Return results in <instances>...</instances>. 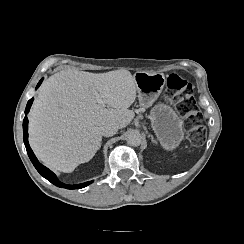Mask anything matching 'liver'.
I'll use <instances>...</instances> for the list:
<instances>
[{"label":"liver","instance_id":"liver-1","mask_svg":"<svg viewBox=\"0 0 244 244\" xmlns=\"http://www.w3.org/2000/svg\"><path fill=\"white\" fill-rule=\"evenodd\" d=\"M99 93L104 106L98 104ZM132 74L125 69L107 73L62 70L39 89L29 117V141L49 168L70 173L90 161L102 140L101 127L114 122L126 127L135 113ZM107 105V108H106Z\"/></svg>","mask_w":244,"mask_h":244}]
</instances>
